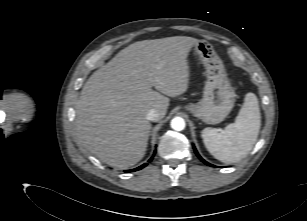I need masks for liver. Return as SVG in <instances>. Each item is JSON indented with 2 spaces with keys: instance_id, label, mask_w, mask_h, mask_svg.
<instances>
[{
  "instance_id": "1",
  "label": "liver",
  "mask_w": 307,
  "mask_h": 221,
  "mask_svg": "<svg viewBox=\"0 0 307 221\" xmlns=\"http://www.w3.org/2000/svg\"><path fill=\"white\" fill-rule=\"evenodd\" d=\"M197 42L186 36L135 42L96 70L76 103L79 141L112 167L139 162L151 129L146 114L155 109L163 119L169 97L187 91V57Z\"/></svg>"
}]
</instances>
